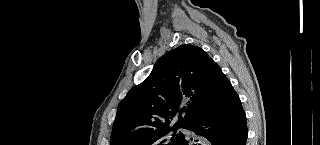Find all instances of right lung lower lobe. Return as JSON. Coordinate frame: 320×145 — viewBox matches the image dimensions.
I'll return each mask as SVG.
<instances>
[{
    "label": "right lung lower lobe",
    "mask_w": 320,
    "mask_h": 145,
    "mask_svg": "<svg viewBox=\"0 0 320 145\" xmlns=\"http://www.w3.org/2000/svg\"><path fill=\"white\" fill-rule=\"evenodd\" d=\"M210 108L183 128L200 136H184L178 145H245L248 136L246 115L231 83L222 76Z\"/></svg>",
    "instance_id": "98d812e1"
}]
</instances>
